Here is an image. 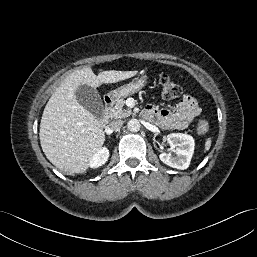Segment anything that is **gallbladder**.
I'll list each match as a JSON object with an SVG mask.
<instances>
[{
	"label": "gallbladder",
	"instance_id": "gallbladder-1",
	"mask_svg": "<svg viewBox=\"0 0 257 257\" xmlns=\"http://www.w3.org/2000/svg\"><path fill=\"white\" fill-rule=\"evenodd\" d=\"M75 95L78 103L94 116L98 118L103 116L104 105L96 89L81 84L78 86Z\"/></svg>",
	"mask_w": 257,
	"mask_h": 257
}]
</instances>
